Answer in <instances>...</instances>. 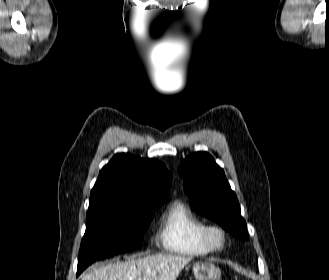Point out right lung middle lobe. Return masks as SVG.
<instances>
[{"label":"right lung middle lobe","mask_w":329,"mask_h":280,"mask_svg":"<svg viewBox=\"0 0 329 280\" xmlns=\"http://www.w3.org/2000/svg\"><path fill=\"white\" fill-rule=\"evenodd\" d=\"M162 200L110 201L88 213L77 276L96 260L138 248Z\"/></svg>","instance_id":"1"}]
</instances>
